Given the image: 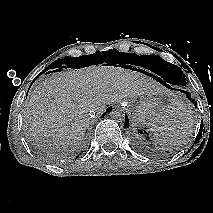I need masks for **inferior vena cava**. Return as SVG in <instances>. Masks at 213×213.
Segmentation results:
<instances>
[{"mask_svg":"<svg viewBox=\"0 0 213 213\" xmlns=\"http://www.w3.org/2000/svg\"><path fill=\"white\" fill-rule=\"evenodd\" d=\"M96 115V112L94 110L89 111V116L94 117Z\"/></svg>","mask_w":213,"mask_h":213,"instance_id":"1","label":"inferior vena cava"}]
</instances>
